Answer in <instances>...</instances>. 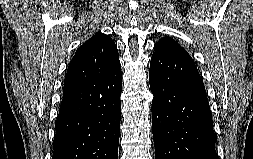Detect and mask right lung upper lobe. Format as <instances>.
<instances>
[{"label": "right lung upper lobe", "mask_w": 253, "mask_h": 159, "mask_svg": "<svg viewBox=\"0 0 253 159\" xmlns=\"http://www.w3.org/2000/svg\"><path fill=\"white\" fill-rule=\"evenodd\" d=\"M120 66L117 46L109 35L97 33L78 48L64 80L63 95Z\"/></svg>", "instance_id": "cb5924a9"}]
</instances>
